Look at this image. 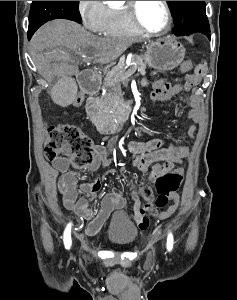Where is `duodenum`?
Returning <instances> with one entry per match:
<instances>
[{
	"instance_id": "duodenum-1",
	"label": "duodenum",
	"mask_w": 237,
	"mask_h": 300,
	"mask_svg": "<svg viewBox=\"0 0 237 300\" xmlns=\"http://www.w3.org/2000/svg\"><path fill=\"white\" fill-rule=\"evenodd\" d=\"M79 86L82 92L87 96L86 111L102 134L116 133L122 125L129 119L134 110L132 102H128L121 113L113 118L105 113L95 93L99 85V77L92 71H84L78 78Z\"/></svg>"
}]
</instances>
